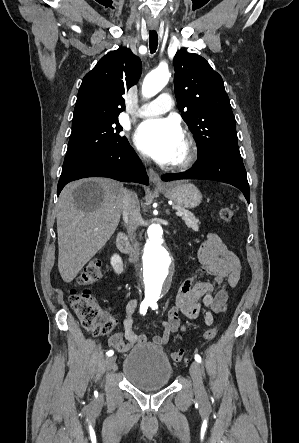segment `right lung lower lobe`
Wrapping results in <instances>:
<instances>
[{
    "mask_svg": "<svg viewBox=\"0 0 299 443\" xmlns=\"http://www.w3.org/2000/svg\"><path fill=\"white\" fill-rule=\"evenodd\" d=\"M86 177H108L123 182L149 184L145 168L130 145L119 152L101 155L83 162L61 174L57 195L67 183Z\"/></svg>",
    "mask_w": 299,
    "mask_h": 443,
    "instance_id": "obj_1",
    "label": "right lung lower lobe"
}]
</instances>
